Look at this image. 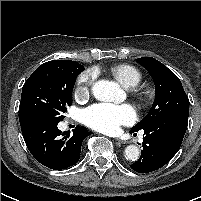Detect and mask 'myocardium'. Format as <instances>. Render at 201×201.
<instances>
[{
    "label": "myocardium",
    "mask_w": 201,
    "mask_h": 201,
    "mask_svg": "<svg viewBox=\"0 0 201 201\" xmlns=\"http://www.w3.org/2000/svg\"><path fill=\"white\" fill-rule=\"evenodd\" d=\"M136 96L139 102H143L145 100V94L143 92H140L138 90L135 91Z\"/></svg>",
    "instance_id": "myocardium-1"
}]
</instances>
